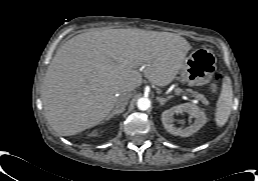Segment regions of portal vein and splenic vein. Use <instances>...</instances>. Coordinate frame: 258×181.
I'll list each match as a JSON object with an SVG mask.
<instances>
[{"label":"portal vein and splenic vein","instance_id":"1","mask_svg":"<svg viewBox=\"0 0 258 181\" xmlns=\"http://www.w3.org/2000/svg\"><path fill=\"white\" fill-rule=\"evenodd\" d=\"M175 93H176L177 95H181V94L189 95L187 92H184V91H182L181 89H175Z\"/></svg>","mask_w":258,"mask_h":181}]
</instances>
